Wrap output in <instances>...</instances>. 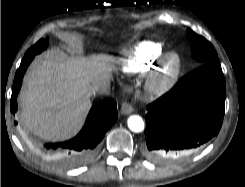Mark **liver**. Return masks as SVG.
Returning <instances> with one entry per match:
<instances>
[{"mask_svg":"<svg viewBox=\"0 0 245 187\" xmlns=\"http://www.w3.org/2000/svg\"><path fill=\"white\" fill-rule=\"evenodd\" d=\"M115 59L107 54L88 57L63 52L36 59L19 95V121L43 139H65L80 128L91 106V88L109 81Z\"/></svg>","mask_w":245,"mask_h":187,"instance_id":"6515ba94","label":"liver"}]
</instances>
